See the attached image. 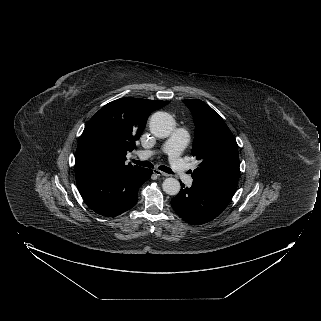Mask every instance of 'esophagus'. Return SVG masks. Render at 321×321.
<instances>
[{"label":"esophagus","instance_id":"1","mask_svg":"<svg viewBox=\"0 0 321 321\" xmlns=\"http://www.w3.org/2000/svg\"><path fill=\"white\" fill-rule=\"evenodd\" d=\"M153 173H154L155 175H157V176H165V177L168 176L167 173H165V172H163V171H160V170H158V169H153Z\"/></svg>","mask_w":321,"mask_h":321}]
</instances>
